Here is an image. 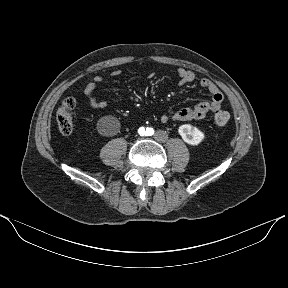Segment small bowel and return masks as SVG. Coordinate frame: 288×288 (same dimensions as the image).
Listing matches in <instances>:
<instances>
[{"label":"small bowel","instance_id":"obj_1","mask_svg":"<svg viewBox=\"0 0 288 288\" xmlns=\"http://www.w3.org/2000/svg\"><path fill=\"white\" fill-rule=\"evenodd\" d=\"M121 74L120 70H115L111 73V77L115 78ZM179 77V85L183 86L195 81L196 76L193 71L180 68L177 71ZM103 83L102 76H95L94 79L87 84L84 90V95L89 105L94 109H104L107 106V102L98 100L95 95V89L97 86ZM200 85L211 94L210 101H202L192 108H182L177 111L168 113L165 112L161 115L160 121L164 124L170 121H192L201 120L209 112H216L220 110L223 102V95L220 89L209 79H201Z\"/></svg>","mask_w":288,"mask_h":288}]
</instances>
